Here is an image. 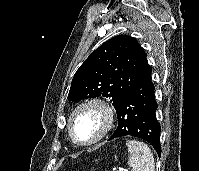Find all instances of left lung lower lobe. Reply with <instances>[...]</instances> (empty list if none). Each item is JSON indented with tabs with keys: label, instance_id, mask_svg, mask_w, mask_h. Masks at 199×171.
I'll return each mask as SVG.
<instances>
[{
	"label": "left lung lower lobe",
	"instance_id": "obj_1",
	"mask_svg": "<svg viewBox=\"0 0 199 171\" xmlns=\"http://www.w3.org/2000/svg\"><path fill=\"white\" fill-rule=\"evenodd\" d=\"M151 71L126 94L116 108L118 127L109 138L135 136L148 141L161 155V126L156 119L157 102L154 85L151 82Z\"/></svg>",
	"mask_w": 199,
	"mask_h": 171
}]
</instances>
